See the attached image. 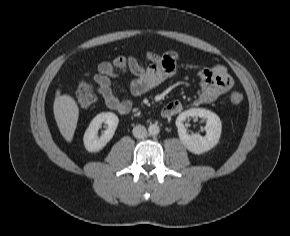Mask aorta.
Masks as SVG:
<instances>
[{
    "instance_id": "762f6f07",
    "label": "aorta",
    "mask_w": 290,
    "mask_h": 236,
    "mask_svg": "<svg viewBox=\"0 0 290 236\" xmlns=\"http://www.w3.org/2000/svg\"><path fill=\"white\" fill-rule=\"evenodd\" d=\"M148 132L150 135L155 136L159 134L160 128L157 124H152L148 127Z\"/></svg>"
}]
</instances>
